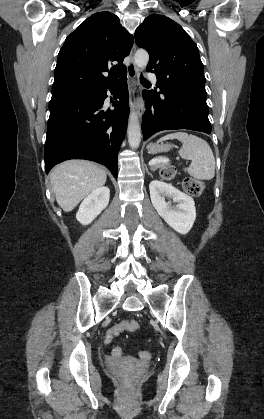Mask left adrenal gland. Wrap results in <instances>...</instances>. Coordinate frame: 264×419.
Here are the masks:
<instances>
[{"mask_svg": "<svg viewBox=\"0 0 264 419\" xmlns=\"http://www.w3.org/2000/svg\"><path fill=\"white\" fill-rule=\"evenodd\" d=\"M146 171H147V174H148V175H151V176H152V174L148 171V169H146Z\"/></svg>", "mask_w": 264, "mask_h": 419, "instance_id": "obj_1", "label": "left adrenal gland"}]
</instances>
